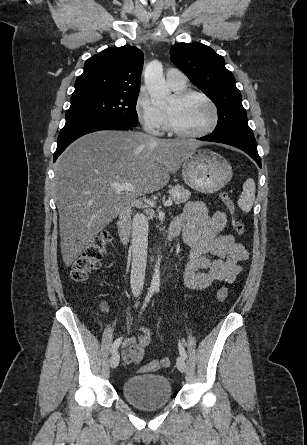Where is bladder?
<instances>
[{
    "mask_svg": "<svg viewBox=\"0 0 307 445\" xmlns=\"http://www.w3.org/2000/svg\"><path fill=\"white\" fill-rule=\"evenodd\" d=\"M124 398L141 410H156L168 405L172 399V385L161 374L131 376L122 385Z\"/></svg>",
    "mask_w": 307,
    "mask_h": 445,
    "instance_id": "bladder-1",
    "label": "bladder"
}]
</instances>
